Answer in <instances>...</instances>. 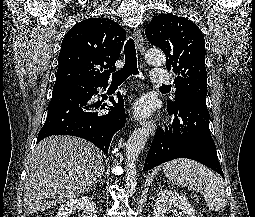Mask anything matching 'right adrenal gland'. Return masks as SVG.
<instances>
[{
  "mask_svg": "<svg viewBox=\"0 0 255 217\" xmlns=\"http://www.w3.org/2000/svg\"><path fill=\"white\" fill-rule=\"evenodd\" d=\"M98 182H100V184L103 185L102 176H100L99 179L95 183H98Z\"/></svg>",
  "mask_w": 255,
  "mask_h": 217,
  "instance_id": "obj_1",
  "label": "right adrenal gland"
}]
</instances>
